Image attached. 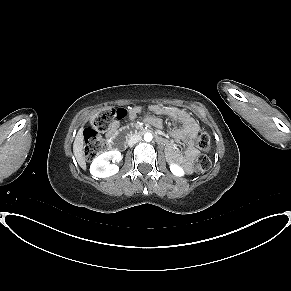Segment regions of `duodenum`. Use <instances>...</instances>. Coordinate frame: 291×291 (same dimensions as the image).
I'll use <instances>...</instances> for the list:
<instances>
[{
	"instance_id": "duodenum-1",
	"label": "duodenum",
	"mask_w": 291,
	"mask_h": 291,
	"mask_svg": "<svg viewBox=\"0 0 291 291\" xmlns=\"http://www.w3.org/2000/svg\"><path fill=\"white\" fill-rule=\"evenodd\" d=\"M151 129L149 127H145V125L141 122L129 124L122 131L118 132L115 136L114 140L109 143V150L112 153H119L125 149V141L132 137L133 134H137L139 136L149 134ZM153 139L156 143H161L163 138L158 134L153 136Z\"/></svg>"
}]
</instances>
